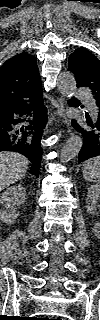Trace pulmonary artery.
<instances>
[{"mask_svg": "<svg viewBox=\"0 0 100 320\" xmlns=\"http://www.w3.org/2000/svg\"><path fill=\"white\" fill-rule=\"evenodd\" d=\"M77 97L79 99H83V100L87 101L88 108L93 114L96 112L95 105L92 102V98L89 93H87L85 90H78Z\"/></svg>", "mask_w": 100, "mask_h": 320, "instance_id": "e3ab8cb5", "label": "pulmonary artery"}]
</instances>
